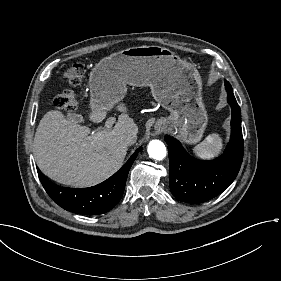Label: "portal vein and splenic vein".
<instances>
[{
	"instance_id": "portal-vein-and-splenic-vein-1",
	"label": "portal vein and splenic vein",
	"mask_w": 281,
	"mask_h": 281,
	"mask_svg": "<svg viewBox=\"0 0 281 281\" xmlns=\"http://www.w3.org/2000/svg\"><path fill=\"white\" fill-rule=\"evenodd\" d=\"M114 123H115L114 117L108 118L106 123H105V130H109L110 128H112ZM101 131H103V130H101Z\"/></svg>"
}]
</instances>
